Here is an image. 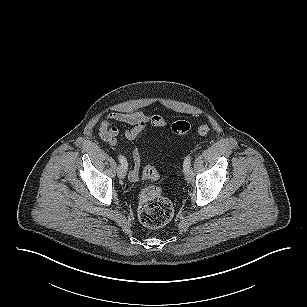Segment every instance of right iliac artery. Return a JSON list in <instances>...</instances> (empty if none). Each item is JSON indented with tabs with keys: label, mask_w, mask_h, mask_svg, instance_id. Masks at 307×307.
Instances as JSON below:
<instances>
[{
	"label": "right iliac artery",
	"mask_w": 307,
	"mask_h": 307,
	"mask_svg": "<svg viewBox=\"0 0 307 307\" xmlns=\"http://www.w3.org/2000/svg\"><path fill=\"white\" fill-rule=\"evenodd\" d=\"M118 159H119V162L121 163L122 168H124L126 170L127 167H128V163H127L126 158L122 155H118Z\"/></svg>",
	"instance_id": "82829eb1"
}]
</instances>
